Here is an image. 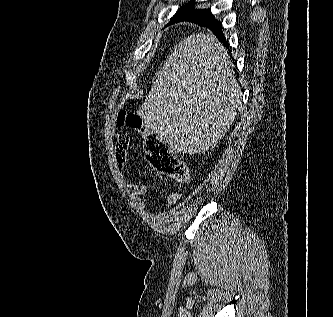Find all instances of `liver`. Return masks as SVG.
<instances>
[{
	"label": "liver",
	"instance_id": "liver-1",
	"mask_svg": "<svg viewBox=\"0 0 333 317\" xmlns=\"http://www.w3.org/2000/svg\"><path fill=\"white\" fill-rule=\"evenodd\" d=\"M241 96L226 48L198 33L167 57L138 115L172 151L199 154L226 134Z\"/></svg>",
	"mask_w": 333,
	"mask_h": 317
}]
</instances>
